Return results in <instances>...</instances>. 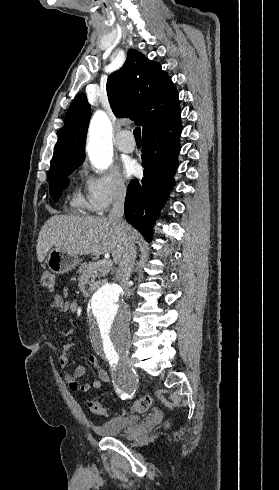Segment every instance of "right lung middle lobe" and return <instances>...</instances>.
<instances>
[{
  "label": "right lung middle lobe",
  "instance_id": "dd1d6c3e",
  "mask_svg": "<svg viewBox=\"0 0 279 490\" xmlns=\"http://www.w3.org/2000/svg\"><path fill=\"white\" fill-rule=\"evenodd\" d=\"M81 164L82 163L73 166L63 167L50 172L49 187H50L51 197L54 200L59 199L62 190L66 188V186L68 185L69 180L66 179L67 175L72 173Z\"/></svg>",
  "mask_w": 279,
  "mask_h": 490
}]
</instances>
